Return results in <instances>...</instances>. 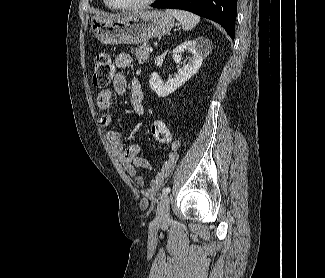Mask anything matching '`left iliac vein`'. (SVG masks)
I'll use <instances>...</instances> for the list:
<instances>
[{"label": "left iliac vein", "mask_w": 325, "mask_h": 278, "mask_svg": "<svg viewBox=\"0 0 325 278\" xmlns=\"http://www.w3.org/2000/svg\"><path fill=\"white\" fill-rule=\"evenodd\" d=\"M170 198L164 195L158 203L156 211V223L159 225L167 224L169 221Z\"/></svg>", "instance_id": "1"}]
</instances>
